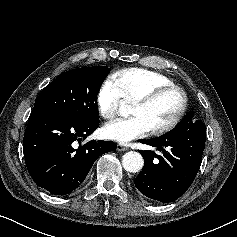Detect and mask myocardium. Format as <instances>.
Here are the masks:
<instances>
[{"label":"myocardium","mask_w":237,"mask_h":237,"mask_svg":"<svg viewBox=\"0 0 237 237\" xmlns=\"http://www.w3.org/2000/svg\"><path fill=\"white\" fill-rule=\"evenodd\" d=\"M169 92H177L180 95L181 104H180L179 110L171 121H169L168 123L162 126L151 129L150 130L151 135H154V136L162 135L164 133L171 131L179 124V122L181 121V119L183 118L187 110V106H188L187 94L184 91V89L176 85L161 86V87L154 88L153 90L140 96L134 101V104H144V105L150 104L154 102L156 99H158L160 96Z\"/></svg>","instance_id":"myocardium-1"}]
</instances>
